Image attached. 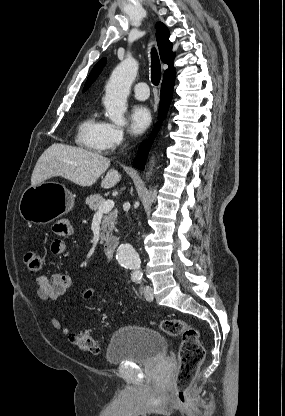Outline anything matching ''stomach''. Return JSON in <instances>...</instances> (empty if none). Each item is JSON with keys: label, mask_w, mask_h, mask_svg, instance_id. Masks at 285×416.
Wrapping results in <instances>:
<instances>
[{"label": "stomach", "mask_w": 285, "mask_h": 416, "mask_svg": "<svg viewBox=\"0 0 285 416\" xmlns=\"http://www.w3.org/2000/svg\"><path fill=\"white\" fill-rule=\"evenodd\" d=\"M73 206L74 198L65 186L57 182H42L23 192L19 212L30 224H49L68 214Z\"/></svg>", "instance_id": "stomach-1"}]
</instances>
